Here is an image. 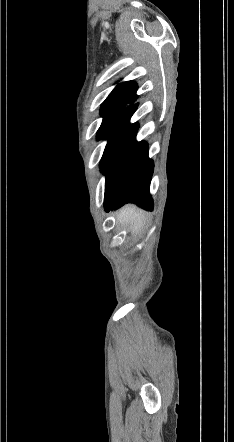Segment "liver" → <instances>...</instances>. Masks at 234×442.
I'll list each match as a JSON object with an SVG mask.
<instances>
[{"label":"liver","instance_id":"1","mask_svg":"<svg viewBox=\"0 0 234 442\" xmlns=\"http://www.w3.org/2000/svg\"><path fill=\"white\" fill-rule=\"evenodd\" d=\"M144 221V213L138 210L134 205H127L117 213V222L122 226L130 225L133 234L141 231Z\"/></svg>","mask_w":234,"mask_h":442}]
</instances>
